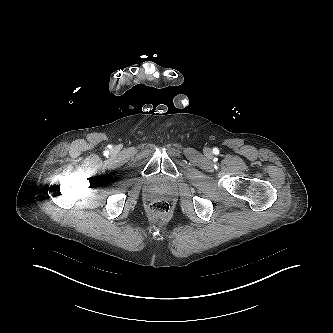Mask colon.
<instances>
[{
    "label": "colon",
    "instance_id": "1",
    "mask_svg": "<svg viewBox=\"0 0 333 333\" xmlns=\"http://www.w3.org/2000/svg\"><path fill=\"white\" fill-rule=\"evenodd\" d=\"M150 212L158 217H166L170 212V205L166 200H154L149 206Z\"/></svg>",
    "mask_w": 333,
    "mask_h": 333
}]
</instances>
